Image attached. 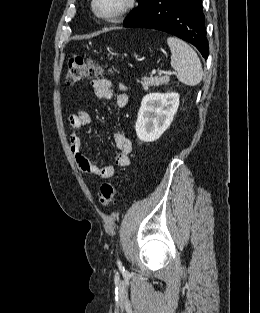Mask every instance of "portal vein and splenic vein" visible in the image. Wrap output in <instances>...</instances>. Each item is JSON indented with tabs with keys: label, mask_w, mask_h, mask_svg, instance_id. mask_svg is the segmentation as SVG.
Returning <instances> with one entry per match:
<instances>
[{
	"label": "portal vein and splenic vein",
	"mask_w": 260,
	"mask_h": 313,
	"mask_svg": "<svg viewBox=\"0 0 260 313\" xmlns=\"http://www.w3.org/2000/svg\"><path fill=\"white\" fill-rule=\"evenodd\" d=\"M157 71L154 69L153 71H152V74H155ZM158 73L161 75L162 73H166V74H168V75H175L176 73L174 72V71H168V72H163V71H161V70H158Z\"/></svg>",
	"instance_id": "portal-vein-and-splenic-vein-1"
}]
</instances>
